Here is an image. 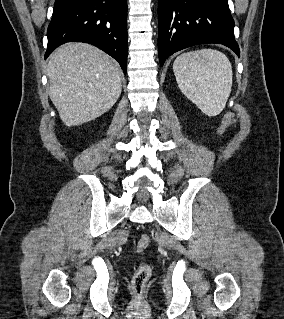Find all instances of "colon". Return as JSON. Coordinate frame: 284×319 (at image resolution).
<instances>
[{
    "mask_svg": "<svg viewBox=\"0 0 284 319\" xmlns=\"http://www.w3.org/2000/svg\"><path fill=\"white\" fill-rule=\"evenodd\" d=\"M234 120H235L234 113H231V112L226 113L223 116L222 122L219 127L220 134H224L227 131V129L233 124ZM149 244H150V237L148 235H142L137 242V246H136L137 252L144 251L149 246ZM150 274H151V269L147 264L141 263L137 267L132 278V288L137 295H140L143 293L146 287V284L150 278Z\"/></svg>",
    "mask_w": 284,
    "mask_h": 319,
    "instance_id": "5ec220e1",
    "label": "colon"
}]
</instances>
